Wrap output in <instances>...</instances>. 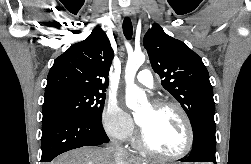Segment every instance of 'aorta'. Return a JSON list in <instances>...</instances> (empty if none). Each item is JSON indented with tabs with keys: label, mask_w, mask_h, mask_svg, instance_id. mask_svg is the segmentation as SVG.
Listing matches in <instances>:
<instances>
[{
	"label": "aorta",
	"mask_w": 251,
	"mask_h": 164,
	"mask_svg": "<svg viewBox=\"0 0 251 164\" xmlns=\"http://www.w3.org/2000/svg\"><path fill=\"white\" fill-rule=\"evenodd\" d=\"M144 53H133L128 57L125 67V81H126V105L130 109H136L141 103L146 102V94L134 82L136 72L144 63Z\"/></svg>",
	"instance_id": "1"
}]
</instances>
